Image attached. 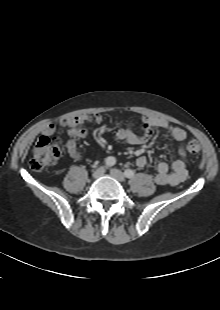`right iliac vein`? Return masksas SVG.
Segmentation results:
<instances>
[{
  "mask_svg": "<svg viewBox=\"0 0 220 310\" xmlns=\"http://www.w3.org/2000/svg\"><path fill=\"white\" fill-rule=\"evenodd\" d=\"M105 172V168L104 167H99L98 169H96L94 172H93V177L94 178H99L101 177Z\"/></svg>",
  "mask_w": 220,
  "mask_h": 310,
  "instance_id": "right-iliac-vein-1",
  "label": "right iliac vein"
}]
</instances>
